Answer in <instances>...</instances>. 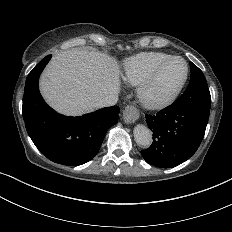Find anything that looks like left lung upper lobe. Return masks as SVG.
Instances as JSON below:
<instances>
[{"mask_svg":"<svg viewBox=\"0 0 232 232\" xmlns=\"http://www.w3.org/2000/svg\"><path fill=\"white\" fill-rule=\"evenodd\" d=\"M190 70L191 78L189 85L174 104L191 107L209 115L211 96L205 76L192 62L190 63Z\"/></svg>","mask_w":232,"mask_h":232,"instance_id":"obj_1","label":"left lung upper lobe"}]
</instances>
